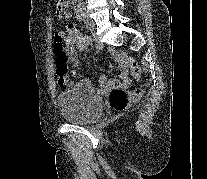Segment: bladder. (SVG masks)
<instances>
[{
    "label": "bladder",
    "mask_w": 207,
    "mask_h": 179,
    "mask_svg": "<svg viewBox=\"0 0 207 179\" xmlns=\"http://www.w3.org/2000/svg\"><path fill=\"white\" fill-rule=\"evenodd\" d=\"M61 115L70 123L86 124L103 112V102L88 80H80L57 96Z\"/></svg>",
    "instance_id": "bladder-1"
}]
</instances>
